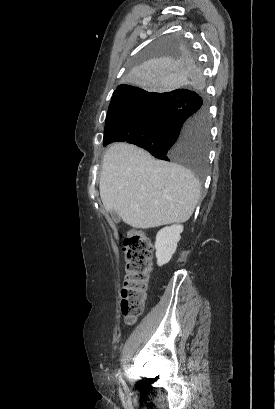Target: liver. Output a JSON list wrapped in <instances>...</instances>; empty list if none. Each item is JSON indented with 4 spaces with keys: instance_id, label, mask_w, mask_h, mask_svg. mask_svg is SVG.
Masks as SVG:
<instances>
[{
    "instance_id": "6515ba94",
    "label": "liver",
    "mask_w": 275,
    "mask_h": 409,
    "mask_svg": "<svg viewBox=\"0 0 275 409\" xmlns=\"http://www.w3.org/2000/svg\"><path fill=\"white\" fill-rule=\"evenodd\" d=\"M106 211L124 223L150 229L190 219L200 196V182L191 170L128 142L107 148L99 180Z\"/></svg>"
}]
</instances>
